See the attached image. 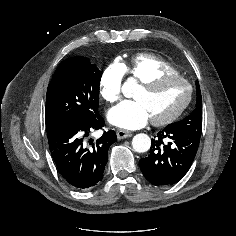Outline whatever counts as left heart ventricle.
Here are the masks:
<instances>
[{
  "mask_svg": "<svg viewBox=\"0 0 236 236\" xmlns=\"http://www.w3.org/2000/svg\"><path fill=\"white\" fill-rule=\"evenodd\" d=\"M186 96V85L179 80H168L150 90L139 88L135 93V98L144 103L151 119L171 114L184 102Z\"/></svg>",
  "mask_w": 236,
  "mask_h": 236,
  "instance_id": "b2bd125f",
  "label": "left heart ventricle"
}]
</instances>
